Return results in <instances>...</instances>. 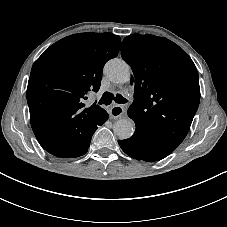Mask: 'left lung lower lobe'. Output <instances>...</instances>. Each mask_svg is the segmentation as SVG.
Returning <instances> with one entry per match:
<instances>
[{"mask_svg": "<svg viewBox=\"0 0 227 227\" xmlns=\"http://www.w3.org/2000/svg\"><path fill=\"white\" fill-rule=\"evenodd\" d=\"M118 143L127 155L137 160L154 162L165 158L172 152L139 130H135L134 135L129 139L118 140Z\"/></svg>", "mask_w": 227, "mask_h": 227, "instance_id": "obj_1", "label": "left lung lower lobe"}]
</instances>
